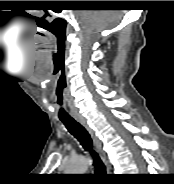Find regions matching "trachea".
Returning a JSON list of instances; mask_svg holds the SVG:
<instances>
[{"instance_id": "trachea-1", "label": "trachea", "mask_w": 174, "mask_h": 184, "mask_svg": "<svg viewBox=\"0 0 174 184\" xmlns=\"http://www.w3.org/2000/svg\"><path fill=\"white\" fill-rule=\"evenodd\" d=\"M68 131L80 142L83 148L90 152L91 156L93 157V164L95 166V171L97 174H104L105 173V166L100 160L98 154L92 149V140L90 138L89 133L86 129L78 122H76L73 118H62L60 119Z\"/></svg>"}]
</instances>
